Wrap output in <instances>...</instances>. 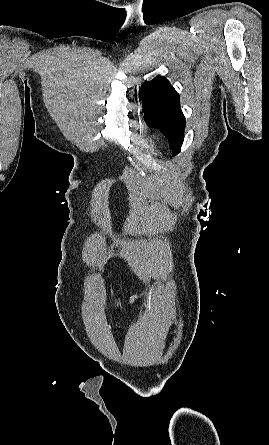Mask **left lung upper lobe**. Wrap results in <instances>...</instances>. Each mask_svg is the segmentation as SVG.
<instances>
[{
    "label": "left lung upper lobe",
    "instance_id": "5c2ea615",
    "mask_svg": "<svg viewBox=\"0 0 269 445\" xmlns=\"http://www.w3.org/2000/svg\"><path fill=\"white\" fill-rule=\"evenodd\" d=\"M144 118L169 140L174 155L180 152L184 140L185 116L180 109V97L170 82L157 76L141 87Z\"/></svg>",
    "mask_w": 269,
    "mask_h": 445
}]
</instances>
